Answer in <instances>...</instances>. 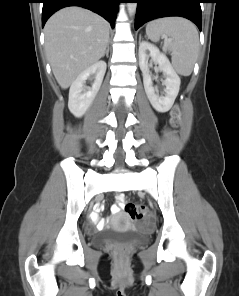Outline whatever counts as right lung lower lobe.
<instances>
[{
    "instance_id": "98d812e1",
    "label": "right lung lower lobe",
    "mask_w": 239,
    "mask_h": 296,
    "mask_svg": "<svg viewBox=\"0 0 239 296\" xmlns=\"http://www.w3.org/2000/svg\"><path fill=\"white\" fill-rule=\"evenodd\" d=\"M121 0H42V27L48 18L57 10L67 6H81L92 10L111 23L114 27L118 3Z\"/></svg>"
}]
</instances>
